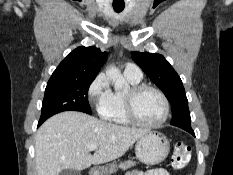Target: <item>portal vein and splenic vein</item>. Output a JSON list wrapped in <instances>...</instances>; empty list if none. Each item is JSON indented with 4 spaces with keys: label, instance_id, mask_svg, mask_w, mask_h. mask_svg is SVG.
I'll list each match as a JSON object with an SVG mask.
<instances>
[{
    "label": "portal vein and splenic vein",
    "instance_id": "1",
    "mask_svg": "<svg viewBox=\"0 0 233 175\" xmlns=\"http://www.w3.org/2000/svg\"><path fill=\"white\" fill-rule=\"evenodd\" d=\"M97 148H98V145H96V144H92L89 146L90 151L96 150Z\"/></svg>",
    "mask_w": 233,
    "mask_h": 175
}]
</instances>
